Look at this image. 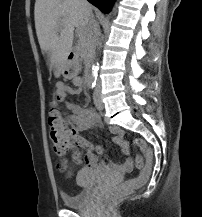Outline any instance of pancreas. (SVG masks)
<instances>
[{
  "instance_id": "1",
  "label": "pancreas",
  "mask_w": 202,
  "mask_h": 217,
  "mask_svg": "<svg viewBox=\"0 0 202 217\" xmlns=\"http://www.w3.org/2000/svg\"><path fill=\"white\" fill-rule=\"evenodd\" d=\"M76 48L81 59L88 63L93 55V40L91 33L87 29L79 32Z\"/></svg>"
}]
</instances>
